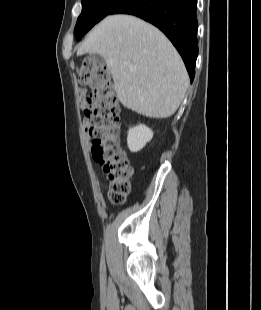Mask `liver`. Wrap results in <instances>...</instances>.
I'll return each mask as SVG.
<instances>
[{
    "instance_id": "liver-1",
    "label": "liver",
    "mask_w": 261,
    "mask_h": 310,
    "mask_svg": "<svg viewBox=\"0 0 261 310\" xmlns=\"http://www.w3.org/2000/svg\"><path fill=\"white\" fill-rule=\"evenodd\" d=\"M99 54L123 106L151 118H168L189 85L184 63L167 37L131 15H111L86 37L77 55Z\"/></svg>"
}]
</instances>
